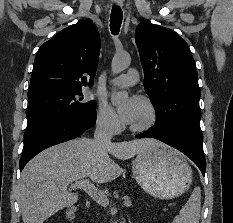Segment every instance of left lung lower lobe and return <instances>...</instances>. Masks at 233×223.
Returning a JSON list of instances; mask_svg holds the SVG:
<instances>
[{"label":"left lung lower lobe","instance_id":"left-lung-lower-lobe-1","mask_svg":"<svg viewBox=\"0 0 233 223\" xmlns=\"http://www.w3.org/2000/svg\"><path fill=\"white\" fill-rule=\"evenodd\" d=\"M137 138H155L184 153L201 170L205 176L206 160L203 152V135L197 129L192 128H158L152 127L148 131L136 136Z\"/></svg>","mask_w":233,"mask_h":223}]
</instances>
